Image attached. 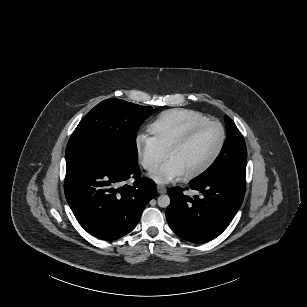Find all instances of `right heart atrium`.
Returning a JSON list of instances; mask_svg holds the SVG:
<instances>
[{"instance_id":"d8ad5b80","label":"right heart atrium","mask_w":307,"mask_h":307,"mask_svg":"<svg viewBox=\"0 0 307 307\" xmlns=\"http://www.w3.org/2000/svg\"><path fill=\"white\" fill-rule=\"evenodd\" d=\"M136 155L142 166L153 173L164 159V152L152 137L138 134L135 138Z\"/></svg>"}]
</instances>
